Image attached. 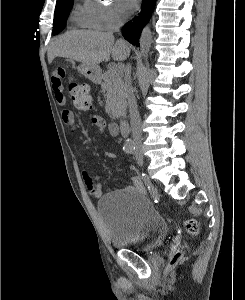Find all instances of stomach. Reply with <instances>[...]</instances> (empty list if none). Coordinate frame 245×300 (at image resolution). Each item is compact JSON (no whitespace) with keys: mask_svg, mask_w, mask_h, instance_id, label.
<instances>
[{"mask_svg":"<svg viewBox=\"0 0 245 300\" xmlns=\"http://www.w3.org/2000/svg\"><path fill=\"white\" fill-rule=\"evenodd\" d=\"M77 70L92 81H98L100 79V68L98 66L81 63L77 66Z\"/></svg>","mask_w":245,"mask_h":300,"instance_id":"0dacf381","label":"stomach"}]
</instances>
